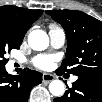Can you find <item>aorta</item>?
I'll use <instances>...</instances> for the list:
<instances>
[{
  "label": "aorta",
  "mask_w": 102,
  "mask_h": 102,
  "mask_svg": "<svg viewBox=\"0 0 102 102\" xmlns=\"http://www.w3.org/2000/svg\"><path fill=\"white\" fill-rule=\"evenodd\" d=\"M29 46L36 51L45 50L49 45V37L43 30H33L28 35ZM49 91L52 95L60 97L65 92L64 83L61 80H53L49 84Z\"/></svg>",
  "instance_id": "aorta-1"
}]
</instances>
